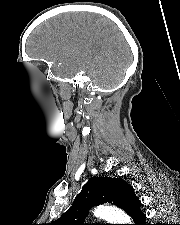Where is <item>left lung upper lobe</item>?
Listing matches in <instances>:
<instances>
[{
	"instance_id": "left-lung-upper-lobe-1",
	"label": "left lung upper lobe",
	"mask_w": 180,
	"mask_h": 225,
	"mask_svg": "<svg viewBox=\"0 0 180 225\" xmlns=\"http://www.w3.org/2000/svg\"><path fill=\"white\" fill-rule=\"evenodd\" d=\"M112 203L129 216L140 209V201L130 184L121 178L92 177L82 187L72 206L48 225H101L85 224L88 211L99 204Z\"/></svg>"
}]
</instances>
